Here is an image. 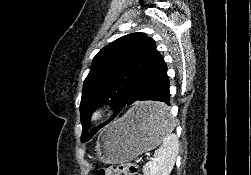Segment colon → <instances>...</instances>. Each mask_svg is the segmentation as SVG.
<instances>
[{
	"label": "colon",
	"mask_w": 251,
	"mask_h": 175,
	"mask_svg": "<svg viewBox=\"0 0 251 175\" xmlns=\"http://www.w3.org/2000/svg\"><path fill=\"white\" fill-rule=\"evenodd\" d=\"M95 175H140L139 165L136 162L108 165L98 169Z\"/></svg>",
	"instance_id": "5ec220e1"
}]
</instances>
